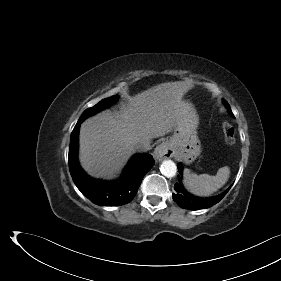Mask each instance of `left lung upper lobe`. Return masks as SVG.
Listing matches in <instances>:
<instances>
[{
    "label": "left lung upper lobe",
    "instance_id": "obj_1",
    "mask_svg": "<svg viewBox=\"0 0 281 281\" xmlns=\"http://www.w3.org/2000/svg\"><path fill=\"white\" fill-rule=\"evenodd\" d=\"M224 103H225L227 109L229 110V112L232 114L229 104L226 101H224Z\"/></svg>",
    "mask_w": 281,
    "mask_h": 281
}]
</instances>
